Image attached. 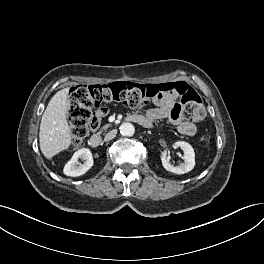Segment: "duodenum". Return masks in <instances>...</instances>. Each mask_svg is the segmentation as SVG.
<instances>
[{"instance_id": "duodenum-1", "label": "duodenum", "mask_w": 264, "mask_h": 264, "mask_svg": "<svg viewBox=\"0 0 264 264\" xmlns=\"http://www.w3.org/2000/svg\"><path fill=\"white\" fill-rule=\"evenodd\" d=\"M129 120L132 121V122H135L139 125H141L142 127H145V128H149L152 126V123L146 119L145 117L143 116H140V115H132L129 117ZM102 143V136L100 133H94L90 138H89V144L92 146V147H97L99 146L100 144Z\"/></svg>"}]
</instances>
